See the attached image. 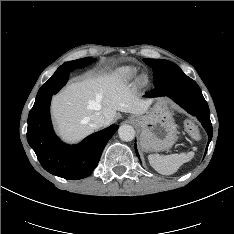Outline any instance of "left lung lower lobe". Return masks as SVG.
I'll return each instance as SVG.
<instances>
[{
	"mask_svg": "<svg viewBox=\"0 0 234 234\" xmlns=\"http://www.w3.org/2000/svg\"><path fill=\"white\" fill-rule=\"evenodd\" d=\"M169 96L188 113L198 117L203 127L208 133V145L212 139V125L210 121V112L207 102L197 83L187 75L174 78L165 83L155 86L145 94V97ZM207 145V147H208ZM136 154L139 157L135 146ZM207 151V148H206Z\"/></svg>",
	"mask_w": 234,
	"mask_h": 234,
	"instance_id": "left-lung-lower-lobe-1",
	"label": "left lung lower lobe"
}]
</instances>
